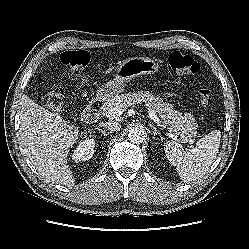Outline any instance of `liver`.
I'll list each match as a JSON object with an SVG mask.
<instances>
[{
    "mask_svg": "<svg viewBox=\"0 0 249 249\" xmlns=\"http://www.w3.org/2000/svg\"><path fill=\"white\" fill-rule=\"evenodd\" d=\"M19 118L21 144L39 174L52 183L73 186L75 180L67 156L78 139V127L27 95L21 98Z\"/></svg>",
    "mask_w": 249,
    "mask_h": 249,
    "instance_id": "1",
    "label": "liver"
}]
</instances>
